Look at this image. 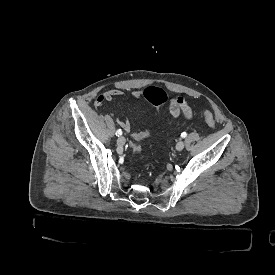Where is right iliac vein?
<instances>
[{"label": "right iliac vein", "mask_w": 275, "mask_h": 275, "mask_svg": "<svg viewBox=\"0 0 275 275\" xmlns=\"http://www.w3.org/2000/svg\"><path fill=\"white\" fill-rule=\"evenodd\" d=\"M125 143H126V139L123 136L118 137L117 139L118 146L122 147L125 145Z\"/></svg>", "instance_id": "right-iliac-vein-1"}]
</instances>
